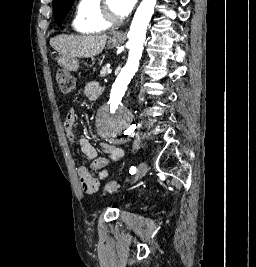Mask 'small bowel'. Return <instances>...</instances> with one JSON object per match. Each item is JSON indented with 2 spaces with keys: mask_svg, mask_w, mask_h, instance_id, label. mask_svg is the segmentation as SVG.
<instances>
[{
  "mask_svg": "<svg viewBox=\"0 0 256 267\" xmlns=\"http://www.w3.org/2000/svg\"><path fill=\"white\" fill-rule=\"evenodd\" d=\"M102 93L100 85L96 81L88 82L84 87V95L89 100H96ZM77 112L74 109L68 111L64 120V128L70 142L78 147L87 157L93 159L91 168L81 166L77 169V175L82 190L87 194L97 192L100 181L109 174L108 165L111 162H119L124 157V151L112 144L101 143L100 148L105 157L98 155L97 150L83 136H78L74 132L75 120Z\"/></svg>",
  "mask_w": 256,
  "mask_h": 267,
  "instance_id": "obj_1",
  "label": "small bowel"
}]
</instances>
